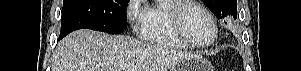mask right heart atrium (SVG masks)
I'll use <instances>...</instances> for the list:
<instances>
[{
    "mask_svg": "<svg viewBox=\"0 0 301 71\" xmlns=\"http://www.w3.org/2000/svg\"><path fill=\"white\" fill-rule=\"evenodd\" d=\"M148 9L144 6L143 0H131L128 3L126 16L134 31H138L142 28Z\"/></svg>",
    "mask_w": 301,
    "mask_h": 71,
    "instance_id": "right-heart-atrium-1",
    "label": "right heart atrium"
}]
</instances>
